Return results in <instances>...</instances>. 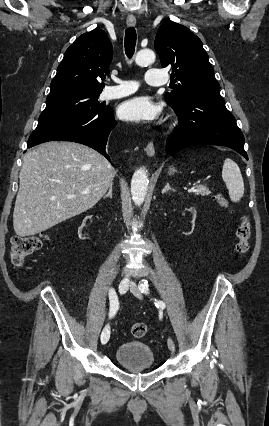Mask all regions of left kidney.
<instances>
[{
	"mask_svg": "<svg viewBox=\"0 0 269 426\" xmlns=\"http://www.w3.org/2000/svg\"><path fill=\"white\" fill-rule=\"evenodd\" d=\"M186 210L190 212V214H191V216H192V220H190L191 228L187 229L185 232H183V234H185V235H190V234H192V232H193V230H194V227H195V219H196L197 212H196V210H195L194 208H192V207H191V208H188V209H186Z\"/></svg>",
	"mask_w": 269,
	"mask_h": 426,
	"instance_id": "1",
	"label": "left kidney"
}]
</instances>
